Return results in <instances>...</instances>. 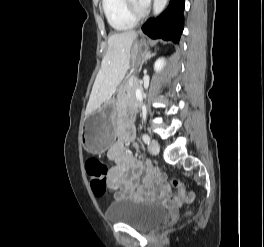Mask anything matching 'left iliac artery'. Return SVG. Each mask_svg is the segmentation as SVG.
<instances>
[{"label": "left iliac artery", "instance_id": "1", "mask_svg": "<svg viewBox=\"0 0 264 247\" xmlns=\"http://www.w3.org/2000/svg\"><path fill=\"white\" fill-rule=\"evenodd\" d=\"M142 139H143L145 144H149L150 143V137H149L148 134H146V133L142 134Z\"/></svg>", "mask_w": 264, "mask_h": 247}]
</instances>
